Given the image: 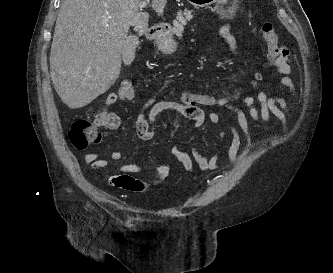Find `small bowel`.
<instances>
[{"instance_id":"1","label":"small bowel","mask_w":333,"mask_h":273,"mask_svg":"<svg viewBox=\"0 0 333 273\" xmlns=\"http://www.w3.org/2000/svg\"><path fill=\"white\" fill-rule=\"evenodd\" d=\"M219 31L228 45L232 60L237 61L239 58V49L232 33V25L225 23L220 27ZM275 55L277 57L276 62L269 63L273 66L275 71L281 75L279 81L282 90L281 94L271 96L264 91H259L255 98L243 94H222L226 95V99H229L230 108H224L223 104L222 108L216 109H228L233 112L236 123L224 120L222 115L217 112H209L206 114L202 109H196L194 103L186 104L182 100H164L154 96L143 103L137 115L136 130L138 137L143 141L152 140L154 138V122L158 115L164 111H174L190 120L195 126L203 125L206 119L214 124H219L224 121L232 137L227 152V162L235 163L240 161L247 156L253 144L249 130L248 117L254 122L263 121L265 123H274L276 120L280 124L282 131L286 132L288 130L289 108L284 94L286 92H289L293 96L295 94V85L291 78L293 72L292 58L290 50L284 45H279ZM118 101L132 102L133 96L124 95L120 92L110 93L106 100H101V106H99V113H105L106 118L116 119L115 122L108 125V128L113 130L119 129L122 126L121 118L116 115L115 111H110L111 105ZM235 103L245 106L247 111H244L241 107L235 105ZM256 103H258V106ZM241 133L245 137V147L243 149H241ZM224 137V130H219L218 140H222ZM110 157L113 161H120L123 154L120 151H113ZM84 159L86 163H93L99 168L111 170L113 173L111 184L119 189L131 192H142L149 187L162 183L169 174L172 161L178 162L187 173L193 176L221 168L219 162L220 155L216 149L213 150L211 156L207 158L200 153L196 145L191 146L190 153L181 151L176 146L168 148L155 175L149 180H142L132 176L143 170V161L113 167L107 160L101 159L97 152L86 154Z\"/></svg>"}]
</instances>
